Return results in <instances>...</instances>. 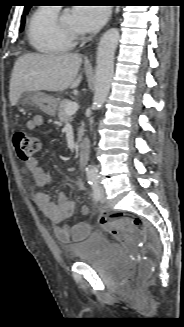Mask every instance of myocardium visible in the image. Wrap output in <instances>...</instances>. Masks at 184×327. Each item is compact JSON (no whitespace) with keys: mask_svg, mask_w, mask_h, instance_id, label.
I'll use <instances>...</instances> for the list:
<instances>
[{"mask_svg":"<svg viewBox=\"0 0 184 327\" xmlns=\"http://www.w3.org/2000/svg\"><path fill=\"white\" fill-rule=\"evenodd\" d=\"M57 25L61 32L67 35L72 40H76L79 37V32L77 30L66 28L62 23V16L57 19Z\"/></svg>","mask_w":184,"mask_h":327,"instance_id":"myocardium-1","label":"myocardium"}]
</instances>
